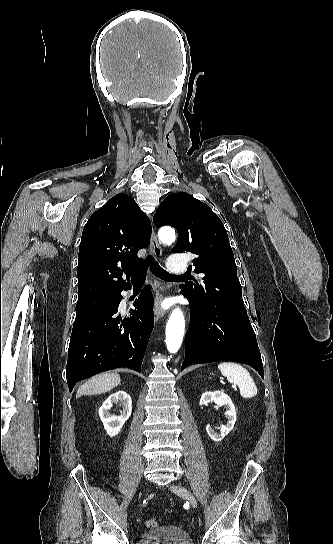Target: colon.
Here are the masks:
<instances>
[{
	"label": "colon",
	"mask_w": 333,
	"mask_h": 544,
	"mask_svg": "<svg viewBox=\"0 0 333 544\" xmlns=\"http://www.w3.org/2000/svg\"><path fill=\"white\" fill-rule=\"evenodd\" d=\"M145 526L149 529L155 528L157 526V521L155 519H148L145 522Z\"/></svg>",
	"instance_id": "obj_1"
}]
</instances>
